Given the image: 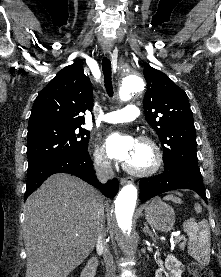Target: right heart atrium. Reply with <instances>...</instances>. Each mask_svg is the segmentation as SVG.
<instances>
[{
  "instance_id": "1",
  "label": "right heart atrium",
  "mask_w": 221,
  "mask_h": 277,
  "mask_svg": "<svg viewBox=\"0 0 221 277\" xmlns=\"http://www.w3.org/2000/svg\"><path fill=\"white\" fill-rule=\"evenodd\" d=\"M94 163L101 171H108L110 169V161L102 146H97L94 152Z\"/></svg>"
}]
</instances>
